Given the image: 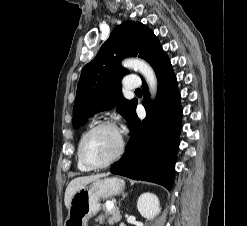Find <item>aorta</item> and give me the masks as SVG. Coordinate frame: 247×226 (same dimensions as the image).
I'll return each mask as SVG.
<instances>
[{
  "label": "aorta",
  "instance_id": "1",
  "mask_svg": "<svg viewBox=\"0 0 247 226\" xmlns=\"http://www.w3.org/2000/svg\"><path fill=\"white\" fill-rule=\"evenodd\" d=\"M122 65L125 68L134 69L136 71H139L141 75L145 78L151 93L153 95L156 94L157 83H158L157 78H156L154 70L147 62L141 59H137V58H130V59H125L122 62Z\"/></svg>",
  "mask_w": 247,
  "mask_h": 226
}]
</instances>
